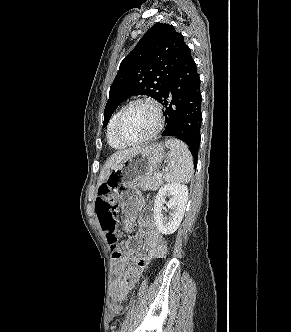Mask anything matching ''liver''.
<instances>
[{
    "label": "liver",
    "instance_id": "obj_1",
    "mask_svg": "<svg viewBox=\"0 0 291 332\" xmlns=\"http://www.w3.org/2000/svg\"><path fill=\"white\" fill-rule=\"evenodd\" d=\"M141 147H133L130 149H126V150H121V151H117L116 153H114L113 155L110 156V158L107 160V162L105 163L103 169L101 170V173L99 175V179H98V185H101L104 183L105 179L108 177V175L110 174V172L117 168L119 166V164L131 153H133L134 151L140 149Z\"/></svg>",
    "mask_w": 291,
    "mask_h": 332
}]
</instances>
